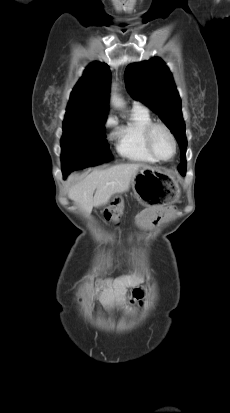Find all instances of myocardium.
Segmentation results:
<instances>
[{
	"label": "myocardium",
	"instance_id": "1",
	"mask_svg": "<svg viewBox=\"0 0 230 413\" xmlns=\"http://www.w3.org/2000/svg\"><path fill=\"white\" fill-rule=\"evenodd\" d=\"M157 128H162V129H164V130L166 131V133L169 135V137H170V139H171V141H172V143H173V147H174L173 154H172V156H171L170 158H168V159L161 158V157L155 152V150H154V148H153L152 136H153L154 130L157 129ZM144 141H145V145H146V148H147L148 152L151 154V156H152L156 161H159V162H169V161H171V160L176 156V154H177L178 144H177L176 137H175L174 133L172 132V130L170 129V127H169L167 124H165V123H162V122H152V123H150V124L146 127V129H145V131H144Z\"/></svg>",
	"mask_w": 230,
	"mask_h": 413
}]
</instances>
